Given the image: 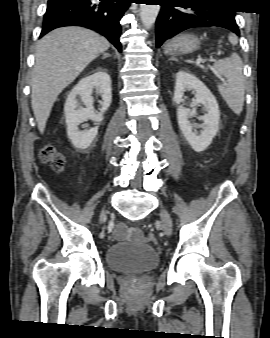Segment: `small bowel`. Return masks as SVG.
I'll use <instances>...</instances> for the list:
<instances>
[{"instance_id":"c3829d8e","label":"small bowel","mask_w":270,"mask_h":338,"mask_svg":"<svg viewBox=\"0 0 270 338\" xmlns=\"http://www.w3.org/2000/svg\"><path fill=\"white\" fill-rule=\"evenodd\" d=\"M115 235L119 237H129L132 240L139 239V232L136 228L118 227L115 230Z\"/></svg>"}]
</instances>
